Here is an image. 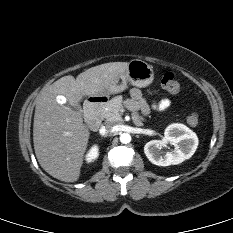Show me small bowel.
<instances>
[{
	"mask_svg": "<svg viewBox=\"0 0 233 233\" xmlns=\"http://www.w3.org/2000/svg\"><path fill=\"white\" fill-rule=\"evenodd\" d=\"M130 100L128 101V105L131 109L135 111H140L144 114H147L150 111V106L143 98L142 92L138 88H132L130 90ZM170 106V100L167 98L161 99L154 108L157 110H165Z\"/></svg>",
	"mask_w": 233,
	"mask_h": 233,
	"instance_id": "1",
	"label": "small bowel"
}]
</instances>
